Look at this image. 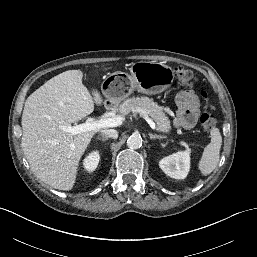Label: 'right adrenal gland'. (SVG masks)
I'll list each match as a JSON object with an SVG mask.
<instances>
[{
    "instance_id": "obj_1",
    "label": "right adrenal gland",
    "mask_w": 257,
    "mask_h": 257,
    "mask_svg": "<svg viewBox=\"0 0 257 257\" xmlns=\"http://www.w3.org/2000/svg\"><path fill=\"white\" fill-rule=\"evenodd\" d=\"M97 139H101V140L104 142V141H106V140L108 139V137H107V136H104V135H101V137L98 136Z\"/></svg>"
}]
</instances>
